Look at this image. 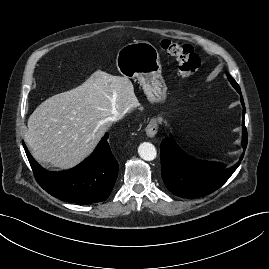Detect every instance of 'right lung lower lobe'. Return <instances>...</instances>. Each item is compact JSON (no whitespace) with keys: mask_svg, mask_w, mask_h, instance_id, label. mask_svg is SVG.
Masks as SVG:
<instances>
[{"mask_svg":"<svg viewBox=\"0 0 269 269\" xmlns=\"http://www.w3.org/2000/svg\"><path fill=\"white\" fill-rule=\"evenodd\" d=\"M108 133L94 152L76 167L61 172L43 169L23 146L36 181L52 196L72 203L104 201L111 193L118 175V163L108 144Z\"/></svg>","mask_w":269,"mask_h":269,"instance_id":"obj_1","label":"right lung lower lobe"}]
</instances>
